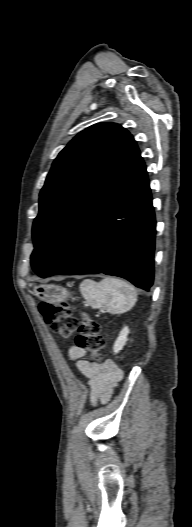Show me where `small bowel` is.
Listing matches in <instances>:
<instances>
[{
	"mask_svg": "<svg viewBox=\"0 0 192 527\" xmlns=\"http://www.w3.org/2000/svg\"><path fill=\"white\" fill-rule=\"evenodd\" d=\"M84 353L82 348L72 346L69 357L76 362L77 369L89 379L91 402L96 403L98 400L105 402L122 377V372L112 360H107L101 365L83 360Z\"/></svg>",
	"mask_w": 192,
	"mask_h": 527,
	"instance_id": "obj_1",
	"label": "small bowel"
}]
</instances>
